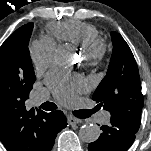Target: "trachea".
I'll return each mask as SVG.
<instances>
[{
	"instance_id": "trachea-1",
	"label": "trachea",
	"mask_w": 151,
	"mask_h": 151,
	"mask_svg": "<svg viewBox=\"0 0 151 151\" xmlns=\"http://www.w3.org/2000/svg\"><path fill=\"white\" fill-rule=\"evenodd\" d=\"M40 108L46 110V111H53L57 108L56 104L55 103H52V102H46L44 104H42L40 106Z\"/></svg>"
}]
</instances>
